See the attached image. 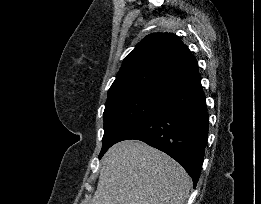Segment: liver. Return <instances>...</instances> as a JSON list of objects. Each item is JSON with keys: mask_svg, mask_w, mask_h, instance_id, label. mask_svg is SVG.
Returning a JSON list of instances; mask_svg holds the SVG:
<instances>
[{"mask_svg": "<svg viewBox=\"0 0 261 204\" xmlns=\"http://www.w3.org/2000/svg\"><path fill=\"white\" fill-rule=\"evenodd\" d=\"M192 181L164 152L126 140L104 155L97 189L88 204H184Z\"/></svg>", "mask_w": 261, "mask_h": 204, "instance_id": "obj_1", "label": "liver"}]
</instances>
